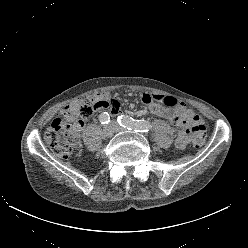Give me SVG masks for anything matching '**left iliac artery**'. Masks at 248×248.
<instances>
[{
  "mask_svg": "<svg viewBox=\"0 0 248 248\" xmlns=\"http://www.w3.org/2000/svg\"><path fill=\"white\" fill-rule=\"evenodd\" d=\"M118 123L129 130L137 132H148L151 129V124L145 120H134L127 115H121L117 117Z\"/></svg>",
  "mask_w": 248,
  "mask_h": 248,
  "instance_id": "1",
  "label": "left iliac artery"
}]
</instances>
